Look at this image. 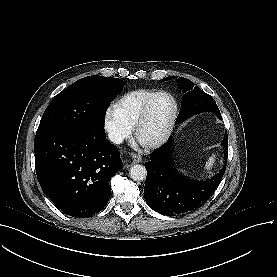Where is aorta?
Listing matches in <instances>:
<instances>
[{
	"label": "aorta",
	"mask_w": 277,
	"mask_h": 277,
	"mask_svg": "<svg viewBox=\"0 0 277 277\" xmlns=\"http://www.w3.org/2000/svg\"><path fill=\"white\" fill-rule=\"evenodd\" d=\"M129 174L134 181H143L146 179L147 170L143 165L135 164L130 168Z\"/></svg>",
	"instance_id": "762f6f07"
}]
</instances>
